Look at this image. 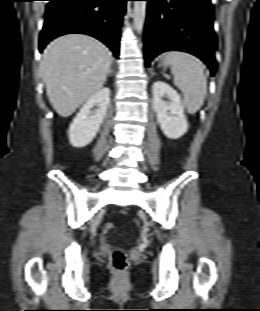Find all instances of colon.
Listing matches in <instances>:
<instances>
[{
  "label": "colon",
  "mask_w": 260,
  "mask_h": 311,
  "mask_svg": "<svg viewBox=\"0 0 260 311\" xmlns=\"http://www.w3.org/2000/svg\"><path fill=\"white\" fill-rule=\"evenodd\" d=\"M114 229V224L108 222L103 227V232L108 234ZM110 264L112 268L117 272H123L128 266V259L126 255L120 250H114L110 254Z\"/></svg>",
  "instance_id": "obj_1"
}]
</instances>
